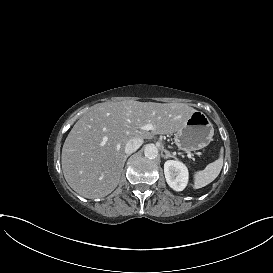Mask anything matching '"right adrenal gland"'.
Returning <instances> with one entry per match:
<instances>
[{"instance_id":"2a0ac1e0","label":"right adrenal gland","mask_w":273,"mask_h":273,"mask_svg":"<svg viewBox=\"0 0 273 273\" xmlns=\"http://www.w3.org/2000/svg\"><path fill=\"white\" fill-rule=\"evenodd\" d=\"M130 155H131V154H126V155L124 156V163H125L126 159H127Z\"/></svg>"}]
</instances>
